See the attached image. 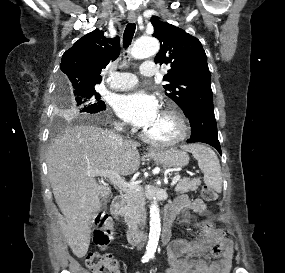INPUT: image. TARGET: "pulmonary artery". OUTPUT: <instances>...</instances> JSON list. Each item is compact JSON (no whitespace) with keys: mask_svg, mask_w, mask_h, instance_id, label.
<instances>
[{"mask_svg":"<svg viewBox=\"0 0 285 273\" xmlns=\"http://www.w3.org/2000/svg\"><path fill=\"white\" fill-rule=\"evenodd\" d=\"M140 73L144 76H154L157 73L155 63L146 61L140 66ZM112 81L110 87L114 90H127L137 84V78L130 72H113L111 73Z\"/></svg>","mask_w":285,"mask_h":273,"instance_id":"obj_1","label":"pulmonary artery"}]
</instances>
